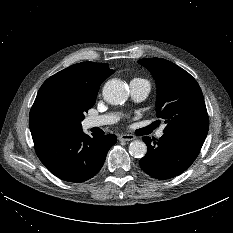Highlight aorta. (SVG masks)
Here are the masks:
<instances>
[{
    "label": "aorta",
    "instance_id": "1",
    "mask_svg": "<svg viewBox=\"0 0 233 233\" xmlns=\"http://www.w3.org/2000/svg\"><path fill=\"white\" fill-rule=\"evenodd\" d=\"M102 95L106 102L112 105L124 103L129 96V90L121 81L112 79L105 83ZM147 152L143 141L135 140L129 145V153L135 158H142Z\"/></svg>",
    "mask_w": 233,
    "mask_h": 233
}]
</instances>
